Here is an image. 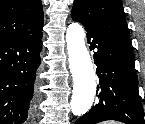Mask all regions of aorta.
<instances>
[{
  "label": "aorta",
  "instance_id": "aorta-1",
  "mask_svg": "<svg viewBox=\"0 0 145 124\" xmlns=\"http://www.w3.org/2000/svg\"><path fill=\"white\" fill-rule=\"evenodd\" d=\"M86 34L79 23H71L66 31L69 68L73 78L70 108L74 115H84L92 106L96 93V76L85 45Z\"/></svg>",
  "mask_w": 145,
  "mask_h": 124
}]
</instances>
